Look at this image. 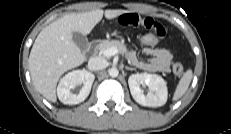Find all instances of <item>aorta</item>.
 Masks as SVG:
<instances>
[{
    "mask_svg": "<svg viewBox=\"0 0 231 134\" xmlns=\"http://www.w3.org/2000/svg\"><path fill=\"white\" fill-rule=\"evenodd\" d=\"M118 74H119V71H118L117 68L112 67V68L109 69V75H110L111 77H117Z\"/></svg>",
    "mask_w": 231,
    "mask_h": 134,
    "instance_id": "762f6f07",
    "label": "aorta"
}]
</instances>
